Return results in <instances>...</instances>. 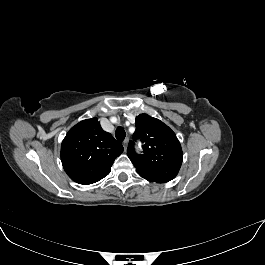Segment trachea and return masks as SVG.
Wrapping results in <instances>:
<instances>
[{
    "mask_svg": "<svg viewBox=\"0 0 265 265\" xmlns=\"http://www.w3.org/2000/svg\"><path fill=\"white\" fill-rule=\"evenodd\" d=\"M115 136H116L117 140L123 141L125 136H126V132L123 128L119 127L115 131Z\"/></svg>",
    "mask_w": 265,
    "mask_h": 265,
    "instance_id": "1",
    "label": "trachea"
}]
</instances>
